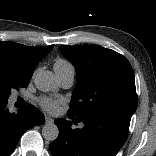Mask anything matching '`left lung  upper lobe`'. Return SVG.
I'll list each match as a JSON object with an SVG mask.
<instances>
[{
  "label": "left lung upper lobe",
  "mask_w": 156,
  "mask_h": 156,
  "mask_svg": "<svg viewBox=\"0 0 156 156\" xmlns=\"http://www.w3.org/2000/svg\"><path fill=\"white\" fill-rule=\"evenodd\" d=\"M60 51L77 71L68 115L83 119L112 114L131 120L138 100L133 69L124 56L97 45H63Z\"/></svg>",
  "instance_id": "left-lung-upper-lobe-1"
}]
</instances>
